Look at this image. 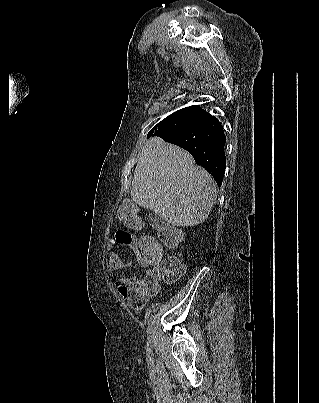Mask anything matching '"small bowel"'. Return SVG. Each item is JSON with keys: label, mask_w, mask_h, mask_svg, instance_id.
Masks as SVG:
<instances>
[{"label": "small bowel", "mask_w": 319, "mask_h": 403, "mask_svg": "<svg viewBox=\"0 0 319 403\" xmlns=\"http://www.w3.org/2000/svg\"><path fill=\"white\" fill-rule=\"evenodd\" d=\"M112 245L119 249H138L139 242L137 235H133L132 229H115ZM137 261L142 269L155 266V262L147 259L142 252H137ZM129 266L124 263L115 251L107 255L106 267L111 272H116ZM127 284V285H126ZM117 297L126 300L127 309H144L146 300L150 299V292L145 279H138L136 276H123L115 279Z\"/></svg>", "instance_id": "1"}]
</instances>
